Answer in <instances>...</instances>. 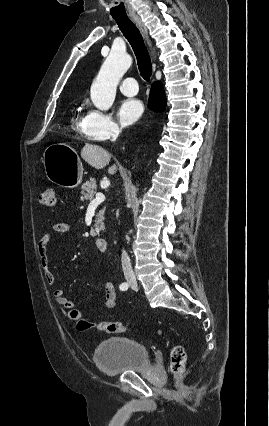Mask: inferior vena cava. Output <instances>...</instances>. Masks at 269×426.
<instances>
[{
	"label": "inferior vena cava",
	"instance_id": "obj_1",
	"mask_svg": "<svg viewBox=\"0 0 269 426\" xmlns=\"http://www.w3.org/2000/svg\"><path fill=\"white\" fill-rule=\"evenodd\" d=\"M117 137H118V133L116 132L112 133V141H115ZM122 268L126 276L133 275L130 258L125 251H123L122 253Z\"/></svg>",
	"mask_w": 269,
	"mask_h": 426
}]
</instances>
